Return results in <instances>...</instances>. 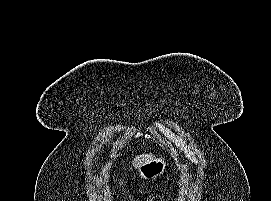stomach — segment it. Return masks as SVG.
Instances as JSON below:
<instances>
[{
    "label": "stomach",
    "instance_id": "0dacf381",
    "mask_svg": "<svg viewBox=\"0 0 271 201\" xmlns=\"http://www.w3.org/2000/svg\"><path fill=\"white\" fill-rule=\"evenodd\" d=\"M166 162L163 158H154L153 160L142 164L138 170L141 178L154 180L166 170Z\"/></svg>",
    "mask_w": 271,
    "mask_h": 201
}]
</instances>
